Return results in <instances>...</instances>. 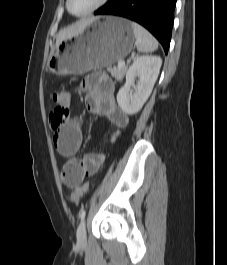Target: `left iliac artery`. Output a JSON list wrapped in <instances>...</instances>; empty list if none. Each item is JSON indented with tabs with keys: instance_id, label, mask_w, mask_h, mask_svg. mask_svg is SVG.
Returning <instances> with one entry per match:
<instances>
[{
	"instance_id": "1",
	"label": "left iliac artery",
	"mask_w": 227,
	"mask_h": 265,
	"mask_svg": "<svg viewBox=\"0 0 227 265\" xmlns=\"http://www.w3.org/2000/svg\"><path fill=\"white\" fill-rule=\"evenodd\" d=\"M85 214H86V211H85V210H82V211L80 212L79 216H80L81 221L84 220V218H85Z\"/></svg>"
}]
</instances>
